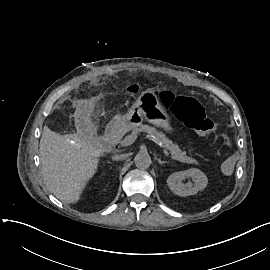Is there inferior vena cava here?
Instances as JSON below:
<instances>
[{
	"instance_id": "1",
	"label": "inferior vena cava",
	"mask_w": 270,
	"mask_h": 270,
	"mask_svg": "<svg viewBox=\"0 0 270 270\" xmlns=\"http://www.w3.org/2000/svg\"><path fill=\"white\" fill-rule=\"evenodd\" d=\"M129 155L128 154H117L112 157L113 160H123L127 158Z\"/></svg>"
}]
</instances>
